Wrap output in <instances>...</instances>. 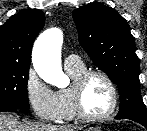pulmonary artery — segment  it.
<instances>
[{
    "label": "pulmonary artery",
    "instance_id": "e3ab8cb5",
    "mask_svg": "<svg viewBox=\"0 0 147 131\" xmlns=\"http://www.w3.org/2000/svg\"><path fill=\"white\" fill-rule=\"evenodd\" d=\"M65 67H78L83 65L81 59L74 54L67 55L64 59Z\"/></svg>",
    "mask_w": 147,
    "mask_h": 131
}]
</instances>
